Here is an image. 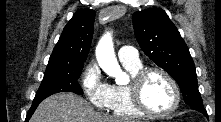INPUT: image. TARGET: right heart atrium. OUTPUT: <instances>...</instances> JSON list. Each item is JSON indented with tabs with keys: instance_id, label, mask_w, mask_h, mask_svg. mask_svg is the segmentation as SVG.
<instances>
[{
	"instance_id": "obj_1",
	"label": "right heart atrium",
	"mask_w": 221,
	"mask_h": 122,
	"mask_svg": "<svg viewBox=\"0 0 221 122\" xmlns=\"http://www.w3.org/2000/svg\"><path fill=\"white\" fill-rule=\"evenodd\" d=\"M81 86L87 99L98 108H106L110 86L102 80L98 66L91 62L82 72Z\"/></svg>"
}]
</instances>
